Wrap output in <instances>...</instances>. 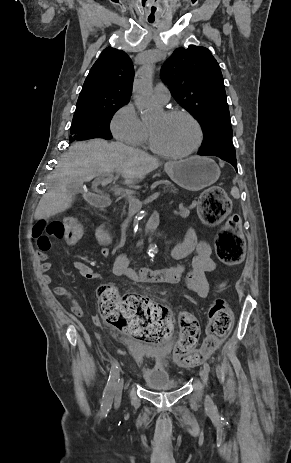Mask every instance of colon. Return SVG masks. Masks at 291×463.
Wrapping results in <instances>:
<instances>
[{"label": "colon", "instance_id": "1", "mask_svg": "<svg viewBox=\"0 0 291 463\" xmlns=\"http://www.w3.org/2000/svg\"><path fill=\"white\" fill-rule=\"evenodd\" d=\"M231 201L218 186L207 188L198 201V212L207 225H215L228 214ZM84 234V225L77 218L63 221L39 220L33 228V236L44 235L65 240H76ZM218 259L227 265H237L244 256V238L241 219L233 215L219 231L216 243ZM101 319L118 330L150 343H160L172 332L173 320L167 308L141 296L120 297L116 288L103 285L97 289ZM207 338L203 350L194 349L200 328L190 314L179 317L180 337L173 352V360L182 368L199 364L230 332L234 316L223 300L215 301L209 310Z\"/></svg>", "mask_w": 291, "mask_h": 463}]
</instances>
